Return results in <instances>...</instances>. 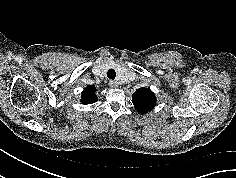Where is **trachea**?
I'll list each match as a JSON object with an SVG mask.
<instances>
[{
  "mask_svg": "<svg viewBox=\"0 0 236 178\" xmlns=\"http://www.w3.org/2000/svg\"><path fill=\"white\" fill-rule=\"evenodd\" d=\"M107 77H108L109 79L114 80L115 77H116V72H115V70H114V69H109L108 72H107Z\"/></svg>",
  "mask_w": 236,
  "mask_h": 178,
  "instance_id": "obj_1",
  "label": "trachea"
}]
</instances>
